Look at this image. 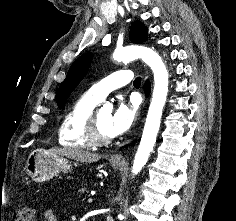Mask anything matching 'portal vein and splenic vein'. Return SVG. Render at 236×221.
I'll return each instance as SVG.
<instances>
[{
	"label": "portal vein and splenic vein",
	"mask_w": 236,
	"mask_h": 221,
	"mask_svg": "<svg viewBox=\"0 0 236 221\" xmlns=\"http://www.w3.org/2000/svg\"><path fill=\"white\" fill-rule=\"evenodd\" d=\"M89 203H92L93 202V198H88V200H87Z\"/></svg>",
	"instance_id": "18ae733b"
}]
</instances>
